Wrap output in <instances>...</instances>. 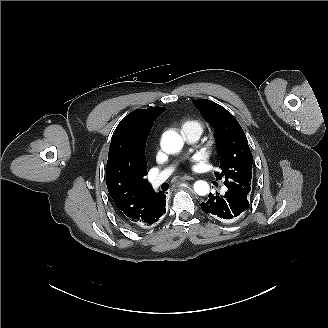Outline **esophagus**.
I'll return each mask as SVG.
<instances>
[{
    "label": "esophagus",
    "instance_id": "1",
    "mask_svg": "<svg viewBox=\"0 0 328 328\" xmlns=\"http://www.w3.org/2000/svg\"><path fill=\"white\" fill-rule=\"evenodd\" d=\"M188 180H194L192 176H182L180 177V181H188Z\"/></svg>",
    "mask_w": 328,
    "mask_h": 328
}]
</instances>
